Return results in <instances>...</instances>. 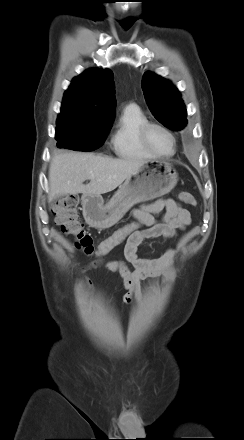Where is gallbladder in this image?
Here are the masks:
<instances>
[{"mask_svg":"<svg viewBox=\"0 0 244 440\" xmlns=\"http://www.w3.org/2000/svg\"><path fill=\"white\" fill-rule=\"evenodd\" d=\"M62 196H58L54 199H52L51 201H49V207L51 208L57 201L61 200Z\"/></svg>","mask_w":244,"mask_h":440,"instance_id":"obj_1","label":"gallbladder"}]
</instances>
